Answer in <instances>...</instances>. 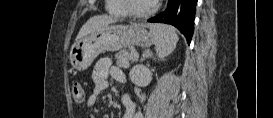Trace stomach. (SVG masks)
Returning a JSON list of instances; mask_svg holds the SVG:
<instances>
[{
    "label": "stomach",
    "instance_id": "stomach-1",
    "mask_svg": "<svg viewBox=\"0 0 273 118\" xmlns=\"http://www.w3.org/2000/svg\"><path fill=\"white\" fill-rule=\"evenodd\" d=\"M152 43V36L144 26L109 24L73 44L69 54L70 64L74 69L84 71L103 52L117 51L131 45L149 47Z\"/></svg>",
    "mask_w": 273,
    "mask_h": 118
}]
</instances>
